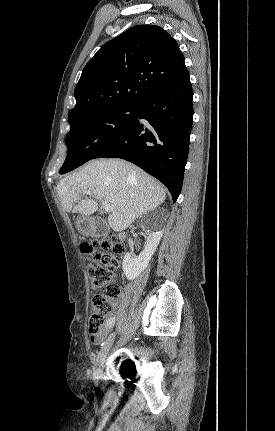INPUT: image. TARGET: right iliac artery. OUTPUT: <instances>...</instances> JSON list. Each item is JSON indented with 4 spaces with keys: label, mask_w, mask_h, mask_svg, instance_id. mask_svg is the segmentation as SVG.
Here are the masks:
<instances>
[{
    "label": "right iliac artery",
    "mask_w": 275,
    "mask_h": 431,
    "mask_svg": "<svg viewBox=\"0 0 275 431\" xmlns=\"http://www.w3.org/2000/svg\"><path fill=\"white\" fill-rule=\"evenodd\" d=\"M114 324H115V318L114 317H111L109 320H108V322H107V328L110 330V329H112L113 328V326H114ZM103 344V343H102Z\"/></svg>",
    "instance_id": "1"
}]
</instances>
